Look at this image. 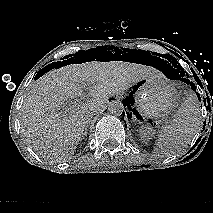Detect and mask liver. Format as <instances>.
Listing matches in <instances>:
<instances>
[{
    "mask_svg": "<svg viewBox=\"0 0 213 213\" xmlns=\"http://www.w3.org/2000/svg\"><path fill=\"white\" fill-rule=\"evenodd\" d=\"M150 76L160 75L154 68L125 61H90L52 69L32 84L24 99L21 133L41 158L68 161L84 133L87 115L102 111L111 95ZM83 89L92 98L61 111Z\"/></svg>",
    "mask_w": 213,
    "mask_h": 213,
    "instance_id": "liver-1",
    "label": "liver"
}]
</instances>
